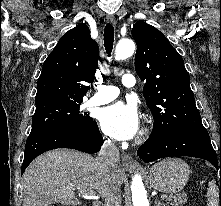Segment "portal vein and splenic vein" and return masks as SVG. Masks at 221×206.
Here are the masks:
<instances>
[{"label": "portal vein and splenic vein", "mask_w": 221, "mask_h": 206, "mask_svg": "<svg viewBox=\"0 0 221 206\" xmlns=\"http://www.w3.org/2000/svg\"><path fill=\"white\" fill-rule=\"evenodd\" d=\"M86 195H89V198H99L98 196L95 195V193L93 191L88 192ZM167 196L166 195H161V199H166Z\"/></svg>", "instance_id": "obj_1"}]
</instances>
